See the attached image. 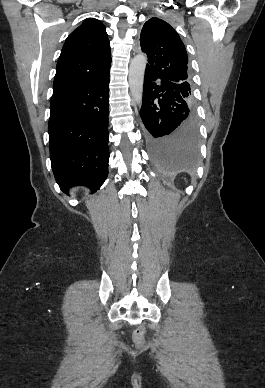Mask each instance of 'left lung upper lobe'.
Segmentation results:
<instances>
[{"label": "left lung upper lobe", "mask_w": 265, "mask_h": 388, "mask_svg": "<svg viewBox=\"0 0 265 388\" xmlns=\"http://www.w3.org/2000/svg\"><path fill=\"white\" fill-rule=\"evenodd\" d=\"M140 44L148 56L146 70L180 85L183 99L193 106L187 52L177 32L167 22L154 17L144 24Z\"/></svg>", "instance_id": "1"}]
</instances>
